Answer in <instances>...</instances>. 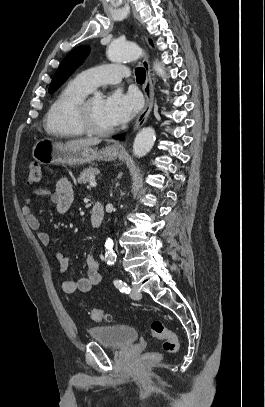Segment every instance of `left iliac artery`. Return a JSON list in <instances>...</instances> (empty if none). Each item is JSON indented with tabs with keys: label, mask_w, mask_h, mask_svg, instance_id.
Instances as JSON below:
<instances>
[{
	"label": "left iliac artery",
	"mask_w": 265,
	"mask_h": 407,
	"mask_svg": "<svg viewBox=\"0 0 265 407\" xmlns=\"http://www.w3.org/2000/svg\"><path fill=\"white\" fill-rule=\"evenodd\" d=\"M114 285L123 293L129 294L131 291L130 287L122 280H114Z\"/></svg>",
	"instance_id": "obj_1"
}]
</instances>
